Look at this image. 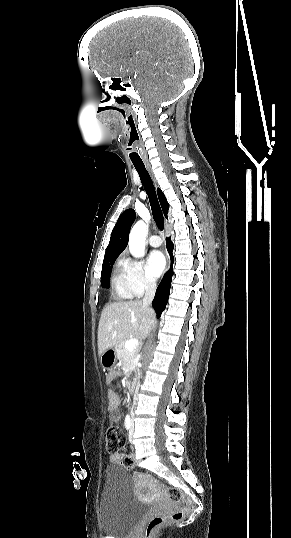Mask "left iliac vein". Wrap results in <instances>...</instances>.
Here are the masks:
<instances>
[{"label": "left iliac vein", "instance_id": "1", "mask_svg": "<svg viewBox=\"0 0 291 538\" xmlns=\"http://www.w3.org/2000/svg\"><path fill=\"white\" fill-rule=\"evenodd\" d=\"M133 433H134V421L132 420L131 421L130 431H129V440H130V442L133 441Z\"/></svg>", "mask_w": 291, "mask_h": 538}]
</instances>
